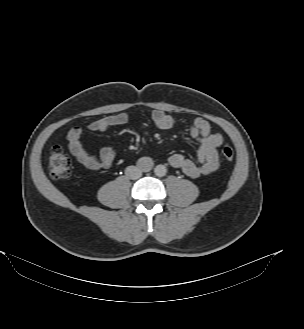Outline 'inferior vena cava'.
Returning <instances> with one entry per match:
<instances>
[{"instance_id":"1","label":"inferior vena cava","mask_w":304,"mask_h":329,"mask_svg":"<svg viewBox=\"0 0 304 329\" xmlns=\"http://www.w3.org/2000/svg\"><path fill=\"white\" fill-rule=\"evenodd\" d=\"M125 174L128 178L135 180L142 176V171L136 166H128Z\"/></svg>"}]
</instances>
